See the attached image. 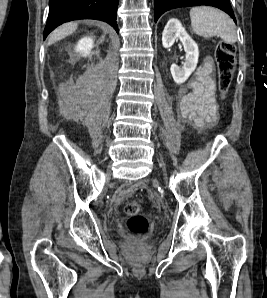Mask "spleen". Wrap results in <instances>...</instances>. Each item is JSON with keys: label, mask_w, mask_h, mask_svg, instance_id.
I'll use <instances>...</instances> for the list:
<instances>
[{"label": "spleen", "mask_w": 267, "mask_h": 298, "mask_svg": "<svg viewBox=\"0 0 267 298\" xmlns=\"http://www.w3.org/2000/svg\"><path fill=\"white\" fill-rule=\"evenodd\" d=\"M193 31L204 38L220 37L226 43L237 41L236 26L223 11L209 7L197 6L190 10Z\"/></svg>", "instance_id": "3e777b00"}]
</instances>
